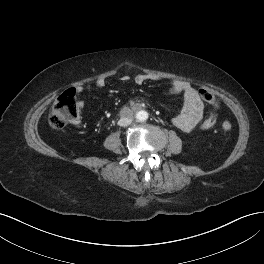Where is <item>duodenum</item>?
Returning <instances> with one entry per match:
<instances>
[{
	"instance_id": "duodenum-1",
	"label": "duodenum",
	"mask_w": 264,
	"mask_h": 264,
	"mask_svg": "<svg viewBox=\"0 0 264 264\" xmlns=\"http://www.w3.org/2000/svg\"><path fill=\"white\" fill-rule=\"evenodd\" d=\"M140 109H141L140 105H135V106H133L131 108L126 109L124 112H125L126 115H129V114H131L133 112H136V111H138Z\"/></svg>"
}]
</instances>
